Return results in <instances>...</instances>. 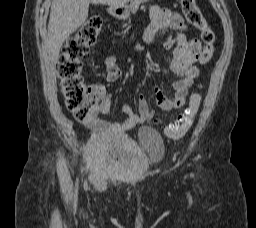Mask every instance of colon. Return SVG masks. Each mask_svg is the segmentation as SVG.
Listing matches in <instances>:
<instances>
[{
	"mask_svg": "<svg viewBox=\"0 0 256 228\" xmlns=\"http://www.w3.org/2000/svg\"><path fill=\"white\" fill-rule=\"evenodd\" d=\"M186 20L198 28L204 48L200 63L211 61L214 55L215 35L204 19L196 0H180ZM102 18L98 14L90 16L87 21L70 37L63 46L58 59L57 70L60 79V89L67 110L79 121L89 120L97 113L100 101L88 88L82 77V61L90 48L95 44L102 30ZM201 102V95L193 93L185 113L175 123L165 126V133L173 139L186 135L193 124Z\"/></svg>",
	"mask_w": 256,
	"mask_h": 228,
	"instance_id": "1",
	"label": "colon"
}]
</instances>
